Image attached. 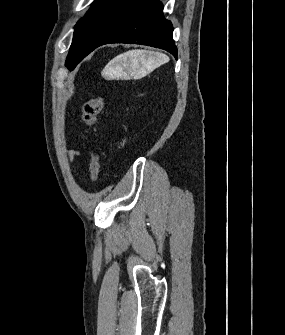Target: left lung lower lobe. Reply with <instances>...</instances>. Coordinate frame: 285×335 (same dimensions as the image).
<instances>
[{
    "instance_id": "left-lung-lower-lobe-1",
    "label": "left lung lower lobe",
    "mask_w": 285,
    "mask_h": 335,
    "mask_svg": "<svg viewBox=\"0 0 285 335\" xmlns=\"http://www.w3.org/2000/svg\"><path fill=\"white\" fill-rule=\"evenodd\" d=\"M131 43L158 47L177 58L173 27L159 0H111L85 34L79 62L100 45Z\"/></svg>"
}]
</instances>
